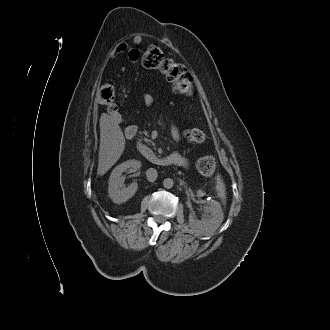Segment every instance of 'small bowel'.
<instances>
[{
  "instance_id": "small-bowel-1",
  "label": "small bowel",
  "mask_w": 330,
  "mask_h": 330,
  "mask_svg": "<svg viewBox=\"0 0 330 330\" xmlns=\"http://www.w3.org/2000/svg\"><path fill=\"white\" fill-rule=\"evenodd\" d=\"M133 41L135 44H139L141 42V39L139 37H135ZM127 50H128V45L126 43H119L113 49L112 57H116V56L126 52ZM133 52L135 53V55L133 54ZM129 57L133 62L137 61V59L139 57V50H137V49L129 50ZM142 101L145 106L149 107L153 104L154 97L150 93H144L142 96ZM128 128H130L132 131L135 130L134 126H130ZM171 134H172V137L174 140L178 141L180 139V131L178 130V128L173 127L171 130ZM167 159L171 164H174V165H178V166H182V167H186L188 165L187 158L179 152L170 153L167 156Z\"/></svg>"
}]
</instances>
